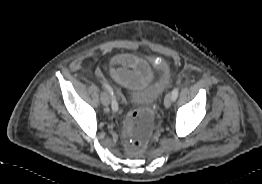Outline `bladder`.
<instances>
[{
	"label": "bladder",
	"instance_id": "1",
	"mask_svg": "<svg viewBox=\"0 0 262 184\" xmlns=\"http://www.w3.org/2000/svg\"><path fill=\"white\" fill-rule=\"evenodd\" d=\"M166 85L165 80L149 84L144 89L132 88L131 101L136 105H147L159 98Z\"/></svg>",
	"mask_w": 262,
	"mask_h": 184
}]
</instances>
